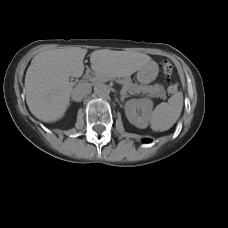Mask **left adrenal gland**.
<instances>
[{
    "mask_svg": "<svg viewBox=\"0 0 228 228\" xmlns=\"http://www.w3.org/2000/svg\"><path fill=\"white\" fill-rule=\"evenodd\" d=\"M127 97H129V95H127L126 93H121V97H120L121 102H124V99Z\"/></svg>",
    "mask_w": 228,
    "mask_h": 228,
    "instance_id": "1",
    "label": "left adrenal gland"
}]
</instances>
